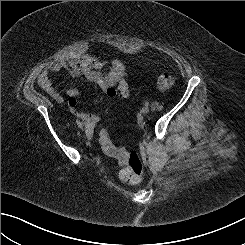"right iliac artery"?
Segmentation results:
<instances>
[{"label": "right iliac artery", "instance_id": "82829eb1", "mask_svg": "<svg viewBox=\"0 0 245 245\" xmlns=\"http://www.w3.org/2000/svg\"><path fill=\"white\" fill-rule=\"evenodd\" d=\"M76 123L78 126L81 124L80 120H76Z\"/></svg>", "mask_w": 245, "mask_h": 245}]
</instances>
